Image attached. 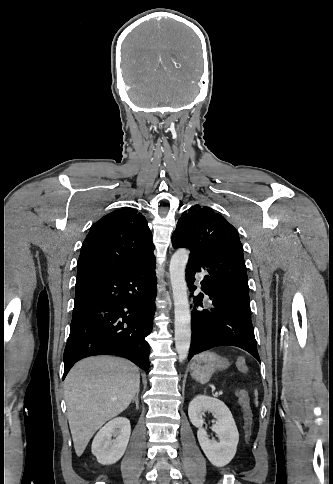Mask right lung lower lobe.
<instances>
[{"label":"right lung lower lobe","instance_id":"right-lung-lower-lobe-1","mask_svg":"<svg viewBox=\"0 0 333 484\" xmlns=\"http://www.w3.org/2000/svg\"><path fill=\"white\" fill-rule=\"evenodd\" d=\"M64 376L74 363L93 355H119L148 372L155 312V260L129 271L78 275Z\"/></svg>","mask_w":333,"mask_h":484}]
</instances>
